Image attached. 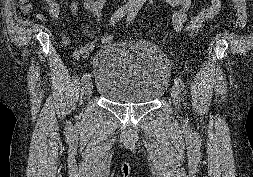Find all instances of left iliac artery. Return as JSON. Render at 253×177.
Here are the masks:
<instances>
[{
	"mask_svg": "<svg viewBox=\"0 0 253 177\" xmlns=\"http://www.w3.org/2000/svg\"><path fill=\"white\" fill-rule=\"evenodd\" d=\"M137 12H138V8L135 7V8H133V9L128 13V17H127V22H128V24H130L131 21L134 20V18H135L136 15H137ZM174 83H175V85H177L181 90H184L185 85H184V83H183V81H182L181 78L175 77V78H174Z\"/></svg>",
	"mask_w": 253,
	"mask_h": 177,
	"instance_id": "left-iliac-artery-1",
	"label": "left iliac artery"
}]
</instances>
